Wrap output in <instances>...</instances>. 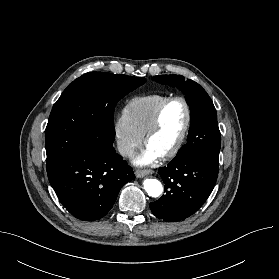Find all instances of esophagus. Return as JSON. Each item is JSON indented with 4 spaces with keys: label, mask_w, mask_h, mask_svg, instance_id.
Masks as SVG:
<instances>
[{
    "label": "esophagus",
    "mask_w": 279,
    "mask_h": 279,
    "mask_svg": "<svg viewBox=\"0 0 279 279\" xmlns=\"http://www.w3.org/2000/svg\"><path fill=\"white\" fill-rule=\"evenodd\" d=\"M151 173H152V171L148 170V169H144V170L137 169L135 171V175H136L137 178L145 177V176H147L148 174H151Z\"/></svg>",
    "instance_id": "34e87169"
}]
</instances>
